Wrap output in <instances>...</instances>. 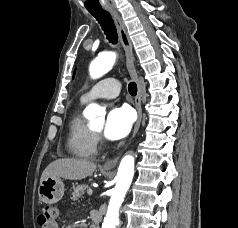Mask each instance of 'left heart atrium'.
Here are the masks:
<instances>
[{
  "label": "left heart atrium",
  "instance_id": "left-heart-atrium-1",
  "mask_svg": "<svg viewBox=\"0 0 238 228\" xmlns=\"http://www.w3.org/2000/svg\"><path fill=\"white\" fill-rule=\"evenodd\" d=\"M133 122L134 115L129 107H113L106 117L103 128L104 136L111 141L123 139L130 132Z\"/></svg>",
  "mask_w": 238,
  "mask_h": 228
}]
</instances>
